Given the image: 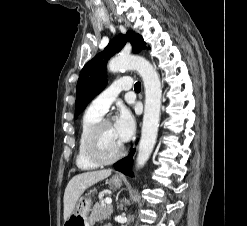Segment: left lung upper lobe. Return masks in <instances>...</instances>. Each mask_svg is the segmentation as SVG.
I'll return each instance as SVG.
<instances>
[{
    "instance_id": "5c2ea615",
    "label": "left lung upper lobe",
    "mask_w": 247,
    "mask_h": 226,
    "mask_svg": "<svg viewBox=\"0 0 247 226\" xmlns=\"http://www.w3.org/2000/svg\"><path fill=\"white\" fill-rule=\"evenodd\" d=\"M127 40L131 43L134 53L146 48V43L139 34L128 31L126 35L119 34L111 40L103 52L97 54L85 64L81 70L76 88L75 118L104 89L107 84L106 63L111 56L124 47Z\"/></svg>"
}]
</instances>
